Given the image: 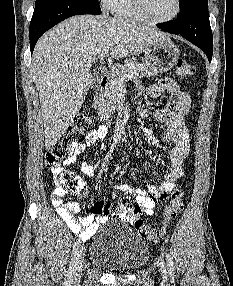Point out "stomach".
I'll list each match as a JSON object with an SVG mask.
<instances>
[{"label": "stomach", "mask_w": 233, "mask_h": 286, "mask_svg": "<svg viewBox=\"0 0 233 286\" xmlns=\"http://www.w3.org/2000/svg\"><path fill=\"white\" fill-rule=\"evenodd\" d=\"M179 49L167 38L145 51L144 60L147 67L157 73L171 70L179 60Z\"/></svg>", "instance_id": "stomach-1"}]
</instances>
